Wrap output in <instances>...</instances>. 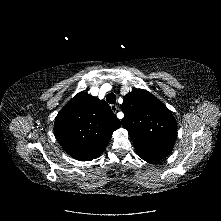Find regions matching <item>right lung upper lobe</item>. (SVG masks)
<instances>
[{
	"instance_id": "obj_1",
	"label": "right lung upper lobe",
	"mask_w": 221,
	"mask_h": 221,
	"mask_svg": "<svg viewBox=\"0 0 221 221\" xmlns=\"http://www.w3.org/2000/svg\"><path fill=\"white\" fill-rule=\"evenodd\" d=\"M120 121L103 100L80 92L58 113L54 132L73 158L89 161L100 156Z\"/></svg>"
}]
</instances>
